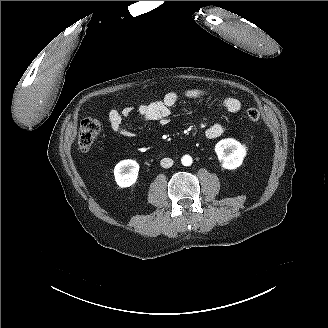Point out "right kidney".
Returning <instances> with one entry per match:
<instances>
[{"mask_svg":"<svg viewBox=\"0 0 328 328\" xmlns=\"http://www.w3.org/2000/svg\"><path fill=\"white\" fill-rule=\"evenodd\" d=\"M139 164L135 160L120 161L114 168V177L121 188L133 186L138 180Z\"/></svg>","mask_w":328,"mask_h":328,"instance_id":"1","label":"right kidney"}]
</instances>
